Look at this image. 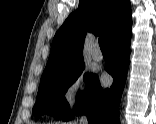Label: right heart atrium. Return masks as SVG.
I'll use <instances>...</instances> for the list:
<instances>
[{
	"mask_svg": "<svg viewBox=\"0 0 156 124\" xmlns=\"http://www.w3.org/2000/svg\"><path fill=\"white\" fill-rule=\"evenodd\" d=\"M86 92V76L84 72L80 71L65 85L62 91V101L65 106L73 108L84 99Z\"/></svg>",
	"mask_w": 156,
	"mask_h": 124,
	"instance_id": "d8ad5b80",
	"label": "right heart atrium"
}]
</instances>
